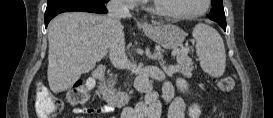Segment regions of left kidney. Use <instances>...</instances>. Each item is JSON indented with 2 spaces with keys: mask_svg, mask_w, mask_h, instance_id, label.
<instances>
[{
  "mask_svg": "<svg viewBox=\"0 0 273 118\" xmlns=\"http://www.w3.org/2000/svg\"><path fill=\"white\" fill-rule=\"evenodd\" d=\"M188 113H189L190 118H199V116L201 114V110H200L199 105L193 104L192 106H190Z\"/></svg>",
  "mask_w": 273,
  "mask_h": 118,
  "instance_id": "1",
  "label": "left kidney"
}]
</instances>
